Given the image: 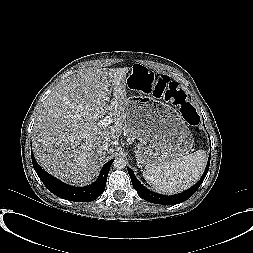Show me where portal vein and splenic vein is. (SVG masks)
I'll list each match as a JSON object with an SVG mask.
<instances>
[{"label": "portal vein and splenic vein", "mask_w": 253, "mask_h": 253, "mask_svg": "<svg viewBox=\"0 0 253 253\" xmlns=\"http://www.w3.org/2000/svg\"><path fill=\"white\" fill-rule=\"evenodd\" d=\"M112 123V118L110 115H107L103 119L99 120L98 125L100 128H106Z\"/></svg>", "instance_id": "obj_1"}]
</instances>
